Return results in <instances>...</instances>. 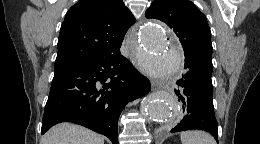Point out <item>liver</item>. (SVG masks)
Here are the masks:
<instances>
[{
    "instance_id": "1",
    "label": "liver",
    "mask_w": 260,
    "mask_h": 144,
    "mask_svg": "<svg viewBox=\"0 0 260 144\" xmlns=\"http://www.w3.org/2000/svg\"><path fill=\"white\" fill-rule=\"evenodd\" d=\"M41 144H104V138L82 126L60 123L47 131Z\"/></svg>"
}]
</instances>
